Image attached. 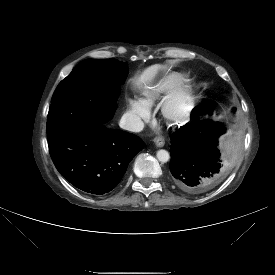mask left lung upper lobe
I'll return each instance as SVG.
<instances>
[{
	"mask_svg": "<svg viewBox=\"0 0 275 275\" xmlns=\"http://www.w3.org/2000/svg\"><path fill=\"white\" fill-rule=\"evenodd\" d=\"M202 112H204L203 110L202 111H200V113H202ZM198 114H199V111H198Z\"/></svg>",
	"mask_w": 275,
	"mask_h": 275,
	"instance_id": "1",
	"label": "left lung upper lobe"
}]
</instances>
